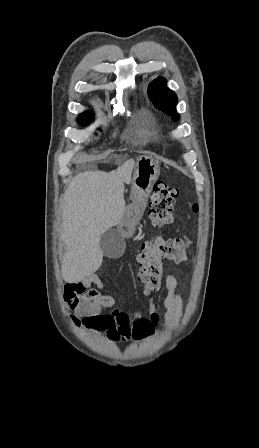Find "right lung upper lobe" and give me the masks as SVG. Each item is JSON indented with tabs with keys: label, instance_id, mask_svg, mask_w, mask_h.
Returning <instances> with one entry per match:
<instances>
[{
	"label": "right lung upper lobe",
	"instance_id": "right-lung-upper-lobe-1",
	"mask_svg": "<svg viewBox=\"0 0 259 448\" xmlns=\"http://www.w3.org/2000/svg\"><path fill=\"white\" fill-rule=\"evenodd\" d=\"M87 114H90V113H88V112H84V113H82V114H80V115H87Z\"/></svg>",
	"mask_w": 259,
	"mask_h": 448
}]
</instances>
